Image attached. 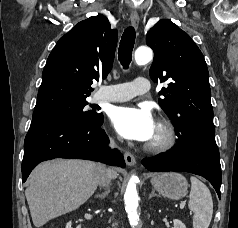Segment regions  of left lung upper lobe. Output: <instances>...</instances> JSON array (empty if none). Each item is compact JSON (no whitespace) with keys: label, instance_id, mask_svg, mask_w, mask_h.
Returning a JSON list of instances; mask_svg holds the SVG:
<instances>
[{"label":"left lung upper lobe","instance_id":"left-lung-upper-lobe-1","mask_svg":"<svg viewBox=\"0 0 238 228\" xmlns=\"http://www.w3.org/2000/svg\"><path fill=\"white\" fill-rule=\"evenodd\" d=\"M146 43L154 51L150 77L168 83L159 92L164 98L158 102L175 126L178 141L188 145L196 138L214 135L208 68L200 49L168 19L147 32Z\"/></svg>","mask_w":238,"mask_h":228}]
</instances>
